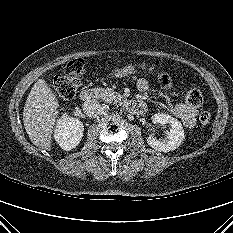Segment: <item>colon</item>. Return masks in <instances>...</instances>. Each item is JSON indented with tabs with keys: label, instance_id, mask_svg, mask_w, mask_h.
<instances>
[{
	"label": "colon",
	"instance_id": "colon-1",
	"mask_svg": "<svg viewBox=\"0 0 233 233\" xmlns=\"http://www.w3.org/2000/svg\"><path fill=\"white\" fill-rule=\"evenodd\" d=\"M83 73V60L73 59L68 62L63 73L55 76L52 86L61 98L70 100L77 92ZM203 100V94L198 88L190 89L185 96V102L194 108L202 106ZM199 121L202 125L209 124L211 114L208 111H202L199 115Z\"/></svg>",
	"mask_w": 233,
	"mask_h": 233
}]
</instances>
